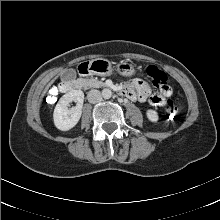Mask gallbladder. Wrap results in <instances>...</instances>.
<instances>
[{"label":"gallbladder","mask_w":220,"mask_h":220,"mask_svg":"<svg viewBox=\"0 0 220 220\" xmlns=\"http://www.w3.org/2000/svg\"><path fill=\"white\" fill-rule=\"evenodd\" d=\"M63 76L64 77L69 76L71 79H74L76 77V72H75V70L71 69V70L65 72L63 74Z\"/></svg>","instance_id":"bac80fb5"}]
</instances>
